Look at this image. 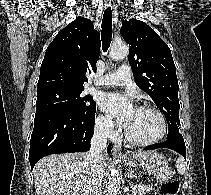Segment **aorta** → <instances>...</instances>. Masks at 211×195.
Instances as JSON below:
<instances>
[{"label": "aorta", "mask_w": 211, "mask_h": 195, "mask_svg": "<svg viewBox=\"0 0 211 195\" xmlns=\"http://www.w3.org/2000/svg\"><path fill=\"white\" fill-rule=\"evenodd\" d=\"M129 54V46L124 43H113L110 49V57L113 60H121L127 57ZM119 177L115 169L111 170V174L108 182V195H119Z\"/></svg>", "instance_id": "1"}]
</instances>
